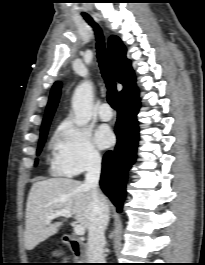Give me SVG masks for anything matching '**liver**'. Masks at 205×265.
<instances>
[{
    "label": "liver",
    "mask_w": 205,
    "mask_h": 265,
    "mask_svg": "<svg viewBox=\"0 0 205 265\" xmlns=\"http://www.w3.org/2000/svg\"><path fill=\"white\" fill-rule=\"evenodd\" d=\"M99 197L107 205L106 198L101 194ZM91 202L92 190L80 181L51 178L35 182L26 205L25 248L32 250L58 232L62 222L47 221V217L56 211H70L75 220L88 229L92 215Z\"/></svg>",
    "instance_id": "6515ba94"
}]
</instances>
